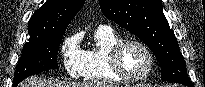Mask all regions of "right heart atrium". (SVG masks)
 <instances>
[{
	"instance_id": "right-heart-atrium-1",
	"label": "right heart atrium",
	"mask_w": 205,
	"mask_h": 87,
	"mask_svg": "<svg viewBox=\"0 0 205 87\" xmlns=\"http://www.w3.org/2000/svg\"><path fill=\"white\" fill-rule=\"evenodd\" d=\"M62 62L67 73L72 77L81 74L83 54L76 36L68 37L61 46Z\"/></svg>"
}]
</instances>
